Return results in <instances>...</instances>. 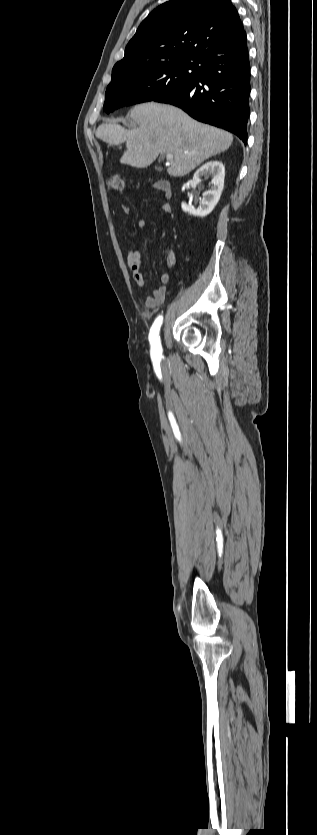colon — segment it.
Here are the masks:
<instances>
[{"instance_id":"obj_1","label":"colon","mask_w":317,"mask_h":835,"mask_svg":"<svg viewBox=\"0 0 317 835\" xmlns=\"http://www.w3.org/2000/svg\"><path fill=\"white\" fill-rule=\"evenodd\" d=\"M107 186L111 192L122 191L125 188V182L119 175H111L107 180Z\"/></svg>"}]
</instances>
